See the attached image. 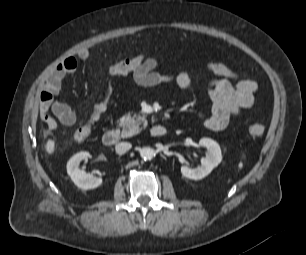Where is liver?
Instances as JSON below:
<instances>
[{"mask_svg": "<svg viewBox=\"0 0 306 255\" xmlns=\"http://www.w3.org/2000/svg\"><path fill=\"white\" fill-rule=\"evenodd\" d=\"M49 134L51 135V132H49ZM45 149H46V152L51 155L55 152V141L53 139H48L46 144H45Z\"/></svg>", "mask_w": 306, "mask_h": 255, "instance_id": "liver-1", "label": "liver"}]
</instances>
